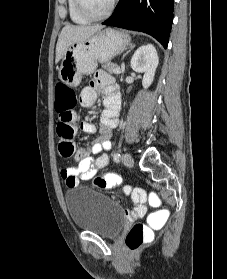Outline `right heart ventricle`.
<instances>
[{"label": "right heart ventricle", "mask_w": 227, "mask_h": 279, "mask_svg": "<svg viewBox=\"0 0 227 279\" xmlns=\"http://www.w3.org/2000/svg\"><path fill=\"white\" fill-rule=\"evenodd\" d=\"M67 9L71 21L75 24H87L89 20L82 17L76 9L75 0H67Z\"/></svg>", "instance_id": "obj_1"}]
</instances>
